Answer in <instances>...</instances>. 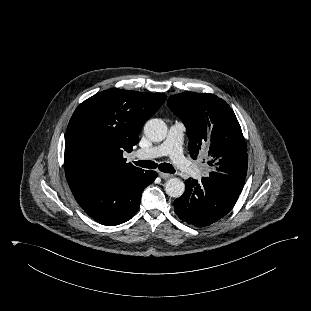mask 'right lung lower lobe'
<instances>
[{"label": "right lung lower lobe", "mask_w": 311, "mask_h": 311, "mask_svg": "<svg viewBox=\"0 0 311 311\" xmlns=\"http://www.w3.org/2000/svg\"><path fill=\"white\" fill-rule=\"evenodd\" d=\"M156 177L155 171L140 170L126 175L97 171L68 179V184L78 204L91 218L114 226L136 214L142 191Z\"/></svg>", "instance_id": "obj_1"}]
</instances>
